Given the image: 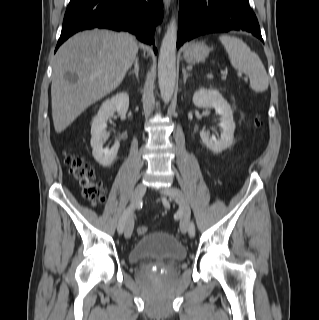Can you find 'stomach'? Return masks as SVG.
Returning a JSON list of instances; mask_svg holds the SVG:
<instances>
[{
  "mask_svg": "<svg viewBox=\"0 0 319 320\" xmlns=\"http://www.w3.org/2000/svg\"><path fill=\"white\" fill-rule=\"evenodd\" d=\"M210 49L203 43L191 42L186 45L183 51V57L187 63H200L209 55Z\"/></svg>",
  "mask_w": 319,
  "mask_h": 320,
  "instance_id": "1",
  "label": "stomach"
}]
</instances>
